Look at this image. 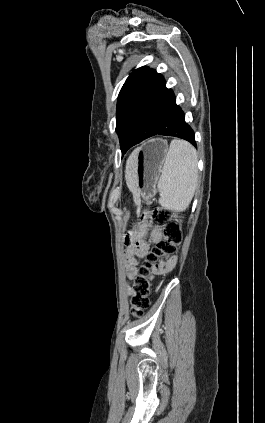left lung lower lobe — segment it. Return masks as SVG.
I'll return each mask as SVG.
<instances>
[{"label": "left lung lower lobe", "mask_w": 265, "mask_h": 423, "mask_svg": "<svg viewBox=\"0 0 265 423\" xmlns=\"http://www.w3.org/2000/svg\"><path fill=\"white\" fill-rule=\"evenodd\" d=\"M175 136L196 146L194 132L185 122L173 91L164 78L150 69L130 109L122 152L154 135Z\"/></svg>", "instance_id": "1"}]
</instances>
